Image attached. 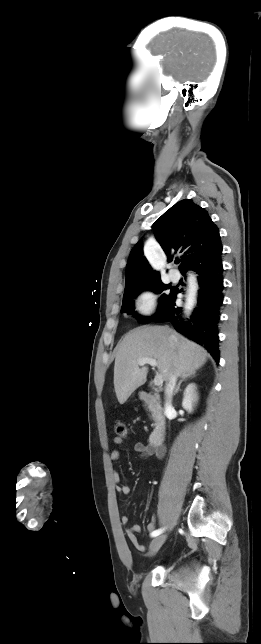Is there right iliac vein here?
<instances>
[{
	"mask_svg": "<svg viewBox=\"0 0 261 644\" xmlns=\"http://www.w3.org/2000/svg\"><path fill=\"white\" fill-rule=\"evenodd\" d=\"M166 540V535H161L152 540L150 543V551L149 553L151 555H154L158 550L161 548V546L164 544Z\"/></svg>",
	"mask_w": 261,
	"mask_h": 644,
	"instance_id": "obj_1",
	"label": "right iliac vein"
}]
</instances>
